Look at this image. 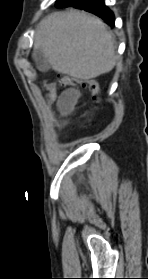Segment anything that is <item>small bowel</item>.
<instances>
[{
    "label": "small bowel",
    "mask_w": 148,
    "mask_h": 279,
    "mask_svg": "<svg viewBox=\"0 0 148 279\" xmlns=\"http://www.w3.org/2000/svg\"><path fill=\"white\" fill-rule=\"evenodd\" d=\"M80 96L81 93L78 89H69L60 95L56 105L61 117L65 118L75 110Z\"/></svg>",
    "instance_id": "small-bowel-1"
}]
</instances>
